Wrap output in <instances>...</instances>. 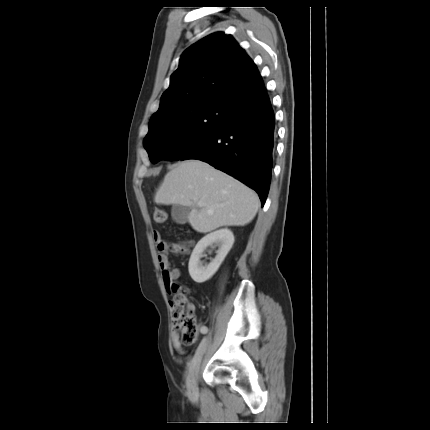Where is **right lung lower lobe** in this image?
Segmentation results:
<instances>
[{
    "mask_svg": "<svg viewBox=\"0 0 430 430\" xmlns=\"http://www.w3.org/2000/svg\"><path fill=\"white\" fill-rule=\"evenodd\" d=\"M225 109L222 129L181 160L198 159L228 173L255 190L263 206L270 186L276 140L274 112L263 81L254 95Z\"/></svg>",
    "mask_w": 430,
    "mask_h": 430,
    "instance_id": "1",
    "label": "right lung lower lobe"
}]
</instances>
